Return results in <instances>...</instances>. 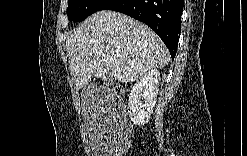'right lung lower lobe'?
I'll return each instance as SVG.
<instances>
[{"label":"right lung lower lobe","mask_w":247,"mask_h":156,"mask_svg":"<svg viewBox=\"0 0 247 156\" xmlns=\"http://www.w3.org/2000/svg\"><path fill=\"white\" fill-rule=\"evenodd\" d=\"M100 10L121 12L147 24L165 43L171 57H175L183 0H108Z\"/></svg>","instance_id":"obj_1"}]
</instances>
